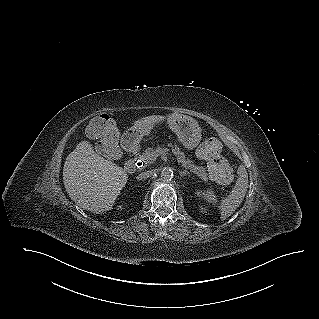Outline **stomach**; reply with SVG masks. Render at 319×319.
<instances>
[{"label":"stomach","instance_id":"0dacf381","mask_svg":"<svg viewBox=\"0 0 319 319\" xmlns=\"http://www.w3.org/2000/svg\"><path fill=\"white\" fill-rule=\"evenodd\" d=\"M167 120L170 128L175 132L178 140L184 147L193 149L200 143L201 129L196 120L189 116L177 113L170 115ZM147 131L148 129L144 127H132L127 133L136 140H139Z\"/></svg>","mask_w":319,"mask_h":319}]
</instances>
